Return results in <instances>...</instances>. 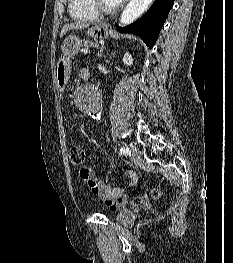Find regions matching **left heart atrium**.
<instances>
[{"mask_svg": "<svg viewBox=\"0 0 233 263\" xmlns=\"http://www.w3.org/2000/svg\"><path fill=\"white\" fill-rule=\"evenodd\" d=\"M118 3H121V2H123L124 0H116Z\"/></svg>", "mask_w": 233, "mask_h": 263, "instance_id": "left-heart-atrium-1", "label": "left heart atrium"}]
</instances>
